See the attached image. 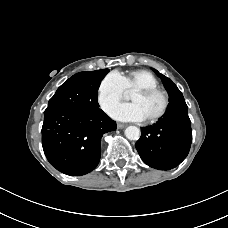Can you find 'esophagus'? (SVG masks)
Segmentation results:
<instances>
[{"label":"esophagus","mask_w":228,"mask_h":228,"mask_svg":"<svg viewBox=\"0 0 228 228\" xmlns=\"http://www.w3.org/2000/svg\"><path fill=\"white\" fill-rule=\"evenodd\" d=\"M126 125L122 123H117V128L118 129H123Z\"/></svg>","instance_id":"esophagus-1"}]
</instances>
